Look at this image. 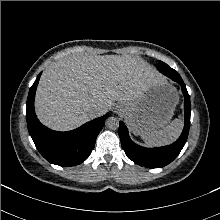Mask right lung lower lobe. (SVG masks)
I'll list each match as a JSON object with an SVG mask.
<instances>
[{
  "mask_svg": "<svg viewBox=\"0 0 220 220\" xmlns=\"http://www.w3.org/2000/svg\"><path fill=\"white\" fill-rule=\"evenodd\" d=\"M40 76L41 73L30 88L27 98L26 119L29 134L40 154L50 163L59 166L78 165L91 154L108 113L68 132H57L45 127L34 111V97Z\"/></svg>",
  "mask_w": 220,
  "mask_h": 220,
  "instance_id": "obj_1",
  "label": "right lung lower lobe"
}]
</instances>
